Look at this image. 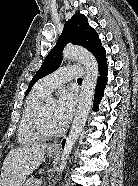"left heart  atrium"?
<instances>
[{"label":"left heart atrium","mask_w":138,"mask_h":186,"mask_svg":"<svg viewBox=\"0 0 138 186\" xmlns=\"http://www.w3.org/2000/svg\"><path fill=\"white\" fill-rule=\"evenodd\" d=\"M74 110V96L70 92H64L57 104V111L59 118L64 125H66L71 118Z\"/></svg>","instance_id":"left-heart-atrium-1"}]
</instances>
